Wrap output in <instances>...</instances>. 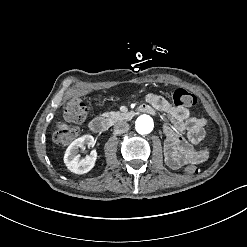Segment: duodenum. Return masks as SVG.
<instances>
[{"mask_svg": "<svg viewBox=\"0 0 247 247\" xmlns=\"http://www.w3.org/2000/svg\"><path fill=\"white\" fill-rule=\"evenodd\" d=\"M149 109L150 108L146 105H140L134 111L148 112ZM132 113H133V111L130 112L129 115H131ZM89 128L91 131H93L95 133H103L106 130H108L109 124H108L107 119L102 118V117H95L90 121Z\"/></svg>", "mask_w": 247, "mask_h": 247, "instance_id": "duodenum-1", "label": "duodenum"}]
</instances>
